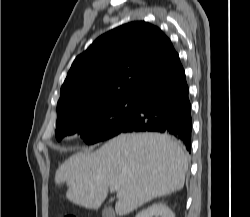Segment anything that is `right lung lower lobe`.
<instances>
[{
    "mask_svg": "<svg viewBox=\"0 0 250 217\" xmlns=\"http://www.w3.org/2000/svg\"><path fill=\"white\" fill-rule=\"evenodd\" d=\"M188 93L185 71L179 61L166 75L132 98V119L120 133H168L191 152L192 117Z\"/></svg>",
    "mask_w": 250,
    "mask_h": 217,
    "instance_id": "1",
    "label": "right lung lower lobe"
}]
</instances>
